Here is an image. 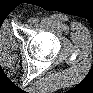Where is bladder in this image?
Masks as SVG:
<instances>
[{
	"instance_id": "1",
	"label": "bladder",
	"mask_w": 93,
	"mask_h": 93,
	"mask_svg": "<svg viewBox=\"0 0 93 93\" xmlns=\"http://www.w3.org/2000/svg\"><path fill=\"white\" fill-rule=\"evenodd\" d=\"M1 42L5 44H11L13 42V36L8 27H3L1 30Z\"/></svg>"
}]
</instances>
